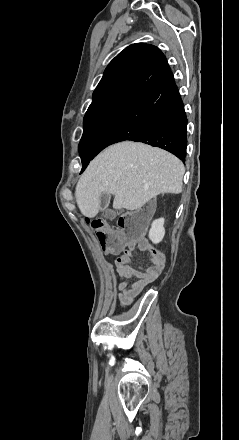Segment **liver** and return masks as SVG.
Segmentation results:
<instances>
[{
	"mask_svg": "<svg viewBox=\"0 0 239 440\" xmlns=\"http://www.w3.org/2000/svg\"><path fill=\"white\" fill-rule=\"evenodd\" d=\"M185 168L175 156L140 142L109 146L90 162L76 186L82 216L95 218L102 192L113 194L114 210H139L158 194H180Z\"/></svg>",
	"mask_w": 239,
	"mask_h": 440,
	"instance_id": "1",
	"label": "liver"
}]
</instances>
